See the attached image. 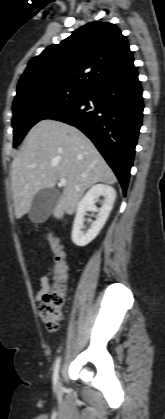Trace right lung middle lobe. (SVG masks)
<instances>
[{
	"mask_svg": "<svg viewBox=\"0 0 165 419\" xmlns=\"http://www.w3.org/2000/svg\"><path fill=\"white\" fill-rule=\"evenodd\" d=\"M86 91L60 87L42 90L13 102V132L16 147L28 130L47 115L80 101Z\"/></svg>",
	"mask_w": 165,
	"mask_h": 419,
	"instance_id": "1",
	"label": "right lung middle lobe"
}]
</instances>
